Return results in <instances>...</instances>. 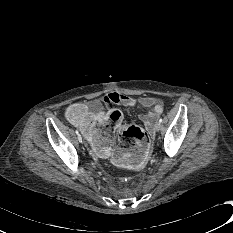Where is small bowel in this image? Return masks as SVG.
<instances>
[{"mask_svg":"<svg viewBox=\"0 0 233 233\" xmlns=\"http://www.w3.org/2000/svg\"><path fill=\"white\" fill-rule=\"evenodd\" d=\"M115 104L124 107H140L149 112L140 116L149 132L152 131L156 119L164 109L163 101L150 96L133 98L117 92H111L101 99L87 103V109L78 121L72 122L88 139L93 154L106 158L109 162L123 165L127 169L139 170L150 154L149 147L144 143L133 145L131 148H121L116 141L106 135L109 126L113 125L116 132L122 124L123 115L119 110L105 112L104 106ZM100 129H103L101 131Z\"/></svg>","mask_w":233,"mask_h":233,"instance_id":"c3829d8e","label":"small bowel"}]
</instances>
